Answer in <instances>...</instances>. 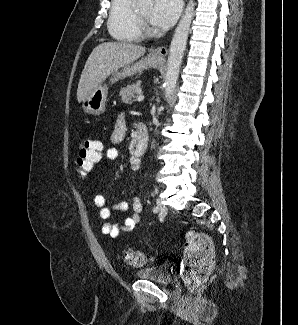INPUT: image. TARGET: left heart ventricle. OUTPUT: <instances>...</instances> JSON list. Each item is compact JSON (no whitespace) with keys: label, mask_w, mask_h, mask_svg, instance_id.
<instances>
[{"label":"left heart ventricle","mask_w":298,"mask_h":325,"mask_svg":"<svg viewBox=\"0 0 298 325\" xmlns=\"http://www.w3.org/2000/svg\"><path fill=\"white\" fill-rule=\"evenodd\" d=\"M151 8H152V3L150 1H141L140 12L143 18L151 28L158 30V28L153 24L150 18Z\"/></svg>","instance_id":"b2bd125f"}]
</instances>
